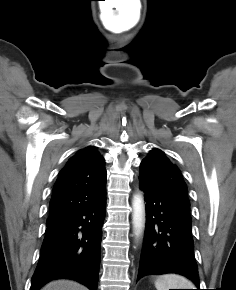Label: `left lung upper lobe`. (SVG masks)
<instances>
[{"label": "left lung upper lobe", "instance_id": "5c2ea615", "mask_svg": "<svg viewBox=\"0 0 236 290\" xmlns=\"http://www.w3.org/2000/svg\"><path fill=\"white\" fill-rule=\"evenodd\" d=\"M139 180L168 189L189 203L187 186L179 169L159 149H153L141 162Z\"/></svg>", "mask_w": 236, "mask_h": 290}]
</instances>
